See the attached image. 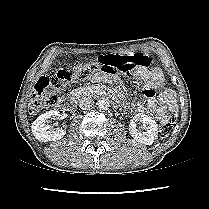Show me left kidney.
<instances>
[{
	"mask_svg": "<svg viewBox=\"0 0 209 209\" xmlns=\"http://www.w3.org/2000/svg\"><path fill=\"white\" fill-rule=\"evenodd\" d=\"M136 122L143 123L146 132L140 131L136 126ZM157 130V123L152 117L142 113L135 114L132 117L129 127L130 135L139 143L151 145L157 139Z\"/></svg>",
	"mask_w": 209,
	"mask_h": 209,
	"instance_id": "left-kidney-1",
	"label": "left kidney"
}]
</instances>
